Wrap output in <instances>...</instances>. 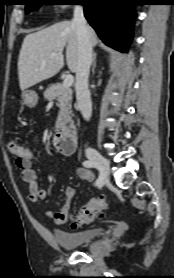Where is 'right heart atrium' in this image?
Segmentation results:
<instances>
[{
  "mask_svg": "<svg viewBox=\"0 0 174 278\" xmlns=\"http://www.w3.org/2000/svg\"><path fill=\"white\" fill-rule=\"evenodd\" d=\"M66 8H67V6H60L59 10L64 11V10H66Z\"/></svg>",
  "mask_w": 174,
  "mask_h": 278,
  "instance_id": "1",
  "label": "right heart atrium"
}]
</instances>
